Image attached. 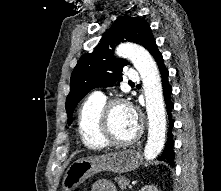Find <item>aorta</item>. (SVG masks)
Instances as JSON below:
<instances>
[{
    "mask_svg": "<svg viewBox=\"0 0 221 191\" xmlns=\"http://www.w3.org/2000/svg\"><path fill=\"white\" fill-rule=\"evenodd\" d=\"M116 54L128 58L141 76L148 115V140L144 156L152 160L162 151L166 135V114L158 67L151 54L136 44L122 43L117 47Z\"/></svg>",
    "mask_w": 221,
    "mask_h": 191,
    "instance_id": "762f6f07",
    "label": "aorta"
}]
</instances>
